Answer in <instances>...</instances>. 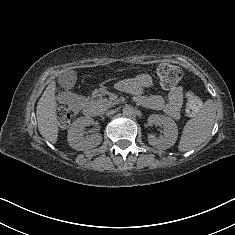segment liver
Returning a JSON list of instances; mask_svg holds the SVG:
<instances>
[{
	"label": "liver",
	"mask_w": 235,
	"mask_h": 235,
	"mask_svg": "<svg viewBox=\"0 0 235 235\" xmlns=\"http://www.w3.org/2000/svg\"><path fill=\"white\" fill-rule=\"evenodd\" d=\"M54 91L55 86L49 85L40 97L36 108L40 134L48 140L57 138V129L51 124L56 105Z\"/></svg>",
	"instance_id": "6515ba94"
}]
</instances>
